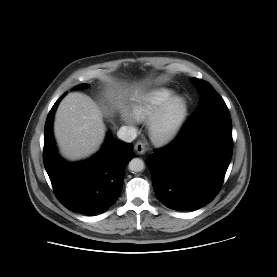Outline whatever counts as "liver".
I'll return each instance as SVG.
<instances>
[{
	"instance_id": "1",
	"label": "liver",
	"mask_w": 277,
	"mask_h": 277,
	"mask_svg": "<svg viewBox=\"0 0 277 277\" xmlns=\"http://www.w3.org/2000/svg\"><path fill=\"white\" fill-rule=\"evenodd\" d=\"M140 88L133 90L132 100L140 97ZM107 98L121 105L120 94L107 92ZM102 109L87 95L70 93L59 104L54 133L62 155L69 160L84 159L100 148L105 137Z\"/></svg>"
}]
</instances>
